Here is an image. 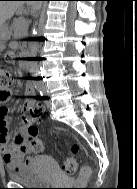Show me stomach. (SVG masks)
<instances>
[{"label":"stomach","mask_w":137,"mask_h":189,"mask_svg":"<svg viewBox=\"0 0 137 189\" xmlns=\"http://www.w3.org/2000/svg\"><path fill=\"white\" fill-rule=\"evenodd\" d=\"M10 38V32L8 30L7 25H3L0 27V49L3 45V41L8 40Z\"/></svg>","instance_id":"1"}]
</instances>
